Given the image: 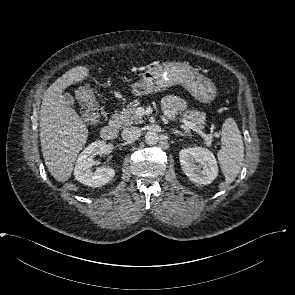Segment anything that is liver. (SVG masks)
<instances>
[{"mask_svg": "<svg viewBox=\"0 0 295 295\" xmlns=\"http://www.w3.org/2000/svg\"><path fill=\"white\" fill-rule=\"evenodd\" d=\"M86 66H76L59 77L44 93L40 111V141L45 164L59 182L67 181L88 139L86 125L64 99L63 90L83 81Z\"/></svg>", "mask_w": 295, "mask_h": 295, "instance_id": "6515ba94", "label": "liver"}]
</instances>
